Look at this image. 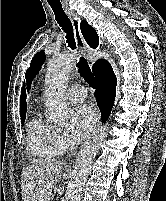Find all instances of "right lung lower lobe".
<instances>
[{"label":"right lung lower lobe","mask_w":166,"mask_h":201,"mask_svg":"<svg viewBox=\"0 0 166 201\" xmlns=\"http://www.w3.org/2000/svg\"><path fill=\"white\" fill-rule=\"evenodd\" d=\"M94 75L99 83L95 96L104 123L108 119L114 104L117 79L112 67L106 61L101 63Z\"/></svg>","instance_id":"obj_1"}]
</instances>
